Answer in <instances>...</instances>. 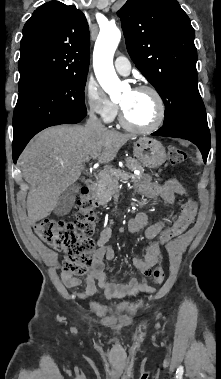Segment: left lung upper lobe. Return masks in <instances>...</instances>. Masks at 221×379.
Wrapping results in <instances>:
<instances>
[{"instance_id":"left-lung-upper-lobe-1","label":"left lung upper lobe","mask_w":221,"mask_h":379,"mask_svg":"<svg viewBox=\"0 0 221 379\" xmlns=\"http://www.w3.org/2000/svg\"><path fill=\"white\" fill-rule=\"evenodd\" d=\"M127 51L165 104L164 123H207L198 91L195 32L177 0H128L117 12Z\"/></svg>"}]
</instances>
